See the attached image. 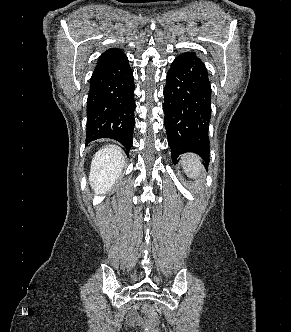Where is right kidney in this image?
I'll list each match as a JSON object with an SVG mask.
<instances>
[{"instance_id":"obj_1","label":"right kidney","mask_w":291,"mask_h":332,"mask_svg":"<svg viewBox=\"0 0 291 332\" xmlns=\"http://www.w3.org/2000/svg\"><path fill=\"white\" fill-rule=\"evenodd\" d=\"M124 157L120 149L106 146L99 150L91 163L89 181L95 193L105 194L110 191L122 172Z\"/></svg>"}]
</instances>
